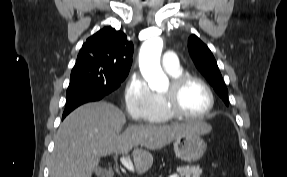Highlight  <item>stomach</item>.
<instances>
[{"instance_id":"stomach-1","label":"stomach","mask_w":287,"mask_h":177,"mask_svg":"<svg viewBox=\"0 0 287 177\" xmlns=\"http://www.w3.org/2000/svg\"><path fill=\"white\" fill-rule=\"evenodd\" d=\"M206 151V144L201 134L189 133L177 138L174 142L175 155L184 162L199 160Z\"/></svg>"}]
</instances>
